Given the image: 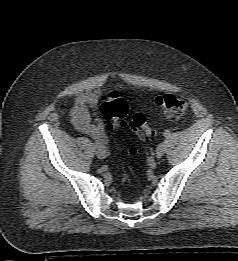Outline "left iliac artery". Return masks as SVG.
I'll return each instance as SVG.
<instances>
[{
	"label": "left iliac artery",
	"instance_id": "obj_1",
	"mask_svg": "<svg viewBox=\"0 0 238 261\" xmlns=\"http://www.w3.org/2000/svg\"><path fill=\"white\" fill-rule=\"evenodd\" d=\"M164 136H165V137L170 136V131L166 130V131L164 132Z\"/></svg>",
	"mask_w": 238,
	"mask_h": 261
}]
</instances>
